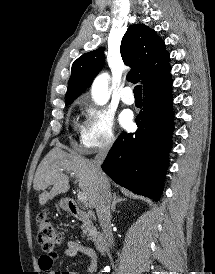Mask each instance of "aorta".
I'll list each match as a JSON object with an SVG mask.
<instances>
[{"label":"aorta","mask_w":215,"mask_h":274,"mask_svg":"<svg viewBox=\"0 0 215 274\" xmlns=\"http://www.w3.org/2000/svg\"><path fill=\"white\" fill-rule=\"evenodd\" d=\"M108 75L101 74L93 82L91 94L94 101L99 105H104L109 100Z\"/></svg>","instance_id":"obj_1"}]
</instances>
